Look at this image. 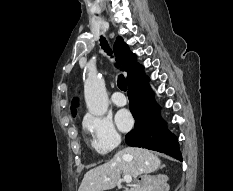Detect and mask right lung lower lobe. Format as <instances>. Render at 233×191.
<instances>
[{
  "instance_id": "right-lung-lower-lobe-1",
  "label": "right lung lower lobe",
  "mask_w": 233,
  "mask_h": 191,
  "mask_svg": "<svg viewBox=\"0 0 233 191\" xmlns=\"http://www.w3.org/2000/svg\"><path fill=\"white\" fill-rule=\"evenodd\" d=\"M148 81L140 64L127 79L130 111L136 121L125 141L130 146L163 152L182 161L177 139L161 119L160 109Z\"/></svg>"
}]
</instances>
